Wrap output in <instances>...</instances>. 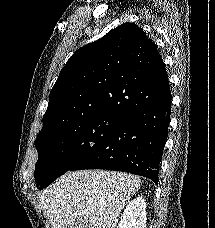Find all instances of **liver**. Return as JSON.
Listing matches in <instances>:
<instances>
[{
  "label": "liver",
  "mask_w": 215,
  "mask_h": 228,
  "mask_svg": "<svg viewBox=\"0 0 215 228\" xmlns=\"http://www.w3.org/2000/svg\"><path fill=\"white\" fill-rule=\"evenodd\" d=\"M140 184L126 172H67L44 190L41 204L52 228H117L122 208Z\"/></svg>",
  "instance_id": "6515ba94"
}]
</instances>
